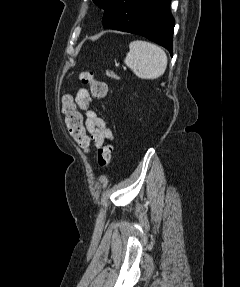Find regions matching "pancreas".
Segmentation results:
<instances>
[{
  "label": "pancreas",
  "mask_w": 240,
  "mask_h": 287,
  "mask_svg": "<svg viewBox=\"0 0 240 287\" xmlns=\"http://www.w3.org/2000/svg\"><path fill=\"white\" fill-rule=\"evenodd\" d=\"M106 75L113 78V79H119V77L112 71L106 72Z\"/></svg>",
  "instance_id": "obj_1"
}]
</instances>
